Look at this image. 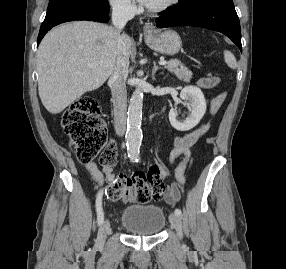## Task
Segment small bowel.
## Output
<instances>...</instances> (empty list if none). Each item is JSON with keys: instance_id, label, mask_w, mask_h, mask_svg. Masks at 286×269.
<instances>
[{"instance_id": "small-bowel-1", "label": "small bowel", "mask_w": 286, "mask_h": 269, "mask_svg": "<svg viewBox=\"0 0 286 269\" xmlns=\"http://www.w3.org/2000/svg\"><path fill=\"white\" fill-rule=\"evenodd\" d=\"M215 78V77H205ZM200 84V83H199ZM206 85V83H205ZM206 88V86H205ZM220 105H218L219 109ZM217 110H209L210 114H214ZM208 123H203L194 130L186 133L185 135L178 136L174 139V147L169 155V162L173 164L175 159L181 157V161L175 169L176 183L168 187L163 201L169 205H174L180 198L181 188L185 184V171L192 166L194 156L191 151L192 147L196 144L198 139L207 131ZM87 171L90 173L94 181L100 186H109V184L116 178L113 173V167H104L100 170L94 162L85 164ZM163 178L168 176L165 168H162ZM131 199V196L129 197Z\"/></svg>"}]
</instances>
